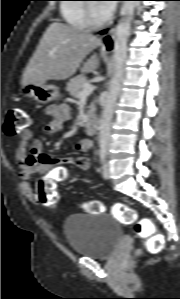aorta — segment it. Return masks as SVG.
<instances>
[{"label": "aorta", "instance_id": "762f6f07", "mask_svg": "<svg viewBox=\"0 0 180 299\" xmlns=\"http://www.w3.org/2000/svg\"><path fill=\"white\" fill-rule=\"evenodd\" d=\"M137 1H124L121 8V18L115 31L114 45V74L110 81L109 91L106 95L102 117L99 126V141L101 148L106 149L109 145L111 121L116 106L117 97L123 80L124 66L127 51V39L130 32V24L133 18Z\"/></svg>", "mask_w": 180, "mask_h": 299}]
</instances>
